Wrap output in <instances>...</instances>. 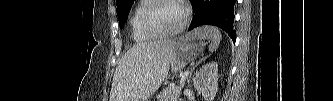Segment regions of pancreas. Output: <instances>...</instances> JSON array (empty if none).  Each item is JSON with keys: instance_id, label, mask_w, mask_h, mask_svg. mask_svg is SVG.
Returning <instances> with one entry per match:
<instances>
[{"instance_id": "pancreas-1", "label": "pancreas", "mask_w": 333, "mask_h": 101, "mask_svg": "<svg viewBox=\"0 0 333 101\" xmlns=\"http://www.w3.org/2000/svg\"><path fill=\"white\" fill-rule=\"evenodd\" d=\"M183 86L169 85L157 95V101H177Z\"/></svg>"}]
</instances>
